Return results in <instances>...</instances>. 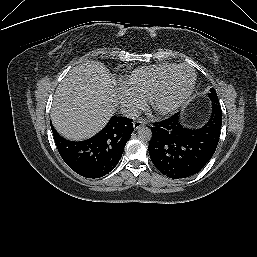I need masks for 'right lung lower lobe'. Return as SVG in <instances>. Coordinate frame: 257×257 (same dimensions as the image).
I'll list each match as a JSON object with an SVG mask.
<instances>
[{"mask_svg": "<svg viewBox=\"0 0 257 257\" xmlns=\"http://www.w3.org/2000/svg\"><path fill=\"white\" fill-rule=\"evenodd\" d=\"M57 149L65 163L86 178H99L116 167L134 130L132 120L113 116L99 133L84 141H69L51 126Z\"/></svg>", "mask_w": 257, "mask_h": 257, "instance_id": "obj_1", "label": "right lung lower lobe"}]
</instances>
